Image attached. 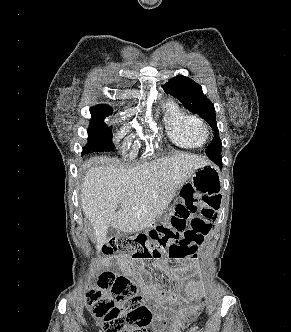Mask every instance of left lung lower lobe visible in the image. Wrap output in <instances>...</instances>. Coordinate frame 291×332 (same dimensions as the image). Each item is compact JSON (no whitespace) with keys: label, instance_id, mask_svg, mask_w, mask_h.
<instances>
[{"label":"left lung lower lobe","instance_id":"1","mask_svg":"<svg viewBox=\"0 0 291 332\" xmlns=\"http://www.w3.org/2000/svg\"><path fill=\"white\" fill-rule=\"evenodd\" d=\"M211 160L214 161L219 167L222 166V159H221V156L213 157V158H211Z\"/></svg>","mask_w":291,"mask_h":332}]
</instances>
